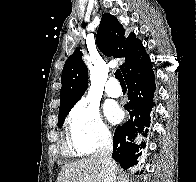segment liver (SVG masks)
Returning a JSON list of instances; mask_svg holds the SVG:
<instances>
[{
	"label": "liver",
	"mask_w": 196,
	"mask_h": 182,
	"mask_svg": "<svg viewBox=\"0 0 196 182\" xmlns=\"http://www.w3.org/2000/svg\"><path fill=\"white\" fill-rule=\"evenodd\" d=\"M57 182H104L101 162L95 156L62 167Z\"/></svg>",
	"instance_id": "1"
}]
</instances>
